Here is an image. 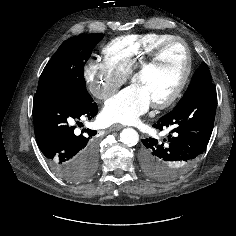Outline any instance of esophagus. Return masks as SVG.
I'll list each match as a JSON object with an SVG mask.
<instances>
[{"label":"esophagus","instance_id":"1","mask_svg":"<svg viewBox=\"0 0 236 236\" xmlns=\"http://www.w3.org/2000/svg\"><path fill=\"white\" fill-rule=\"evenodd\" d=\"M122 128L123 126L120 124H113L110 126L109 131H118L121 130Z\"/></svg>","mask_w":236,"mask_h":236}]
</instances>
